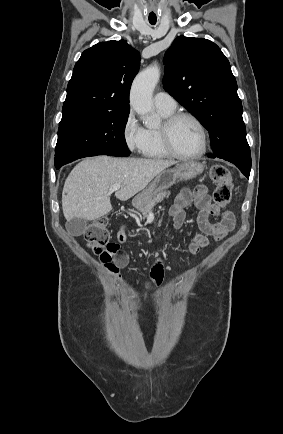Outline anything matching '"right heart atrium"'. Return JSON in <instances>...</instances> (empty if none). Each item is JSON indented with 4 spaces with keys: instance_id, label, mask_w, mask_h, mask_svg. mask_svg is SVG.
Here are the masks:
<instances>
[{
    "instance_id": "obj_1",
    "label": "right heart atrium",
    "mask_w": 283,
    "mask_h": 434,
    "mask_svg": "<svg viewBox=\"0 0 283 434\" xmlns=\"http://www.w3.org/2000/svg\"><path fill=\"white\" fill-rule=\"evenodd\" d=\"M121 133L130 152L142 153L146 141V129L139 123L133 110L127 113Z\"/></svg>"
}]
</instances>
